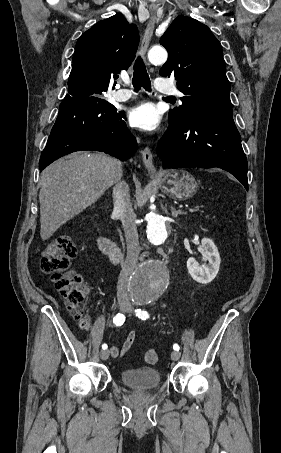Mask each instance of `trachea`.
<instances>
[{"label":"trachea","instance_id":"obj_1","mask_svg":"<svg viewBox=\"0 0 281 453\" xmlns=\"http://www.w3.org/2000/svg\"><path fill=\"white\" fill-rule=\"evenodd\" d=\"M132 83L135 91H139L141 87L146 91H151L150 79L142 58L138 57L134 64V72Z\"/></svg>","mask_w":281,"mask_h":453}]
</instances>
